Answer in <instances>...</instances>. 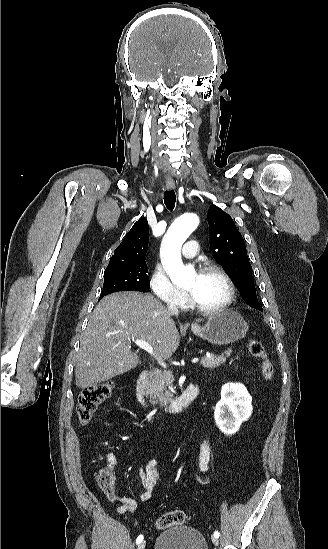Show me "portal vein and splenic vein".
I'll list each match as a JSON object with an SVG mask.
<instances>
[{"mask_svg": "<svg viewBox=\"0 0 328 549\" xmlns=\"http://www.w3.org/2000/svg\"><path fill=\"white\" fill-rule=\"evenodd\" d=\"M134 343L135 345H137V347H140V349H144V351H147V353H150V355H154V351L151 347V345H149V343H146V341H138V339H134ZM157 359V357H156ZM159 365H161V367H163V369H167L166 367V363H163V361H161V359H157ZM194 361H198V358H194Z\"/></svg>", "mask_w": 328, "mask_h": 549, "instance_id": "obj_1", "label": "portal vein and splenic vein"}]
</instances>
